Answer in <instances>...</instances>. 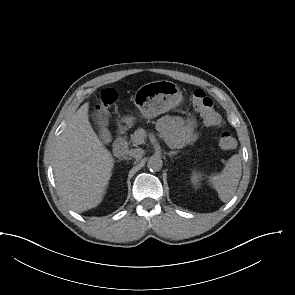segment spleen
I'll return each instance as SVG.
<instances>
[{
    "label": "spleen",
    "mask_w": 295,
    "mask_h": 295,
    "mask_svg": "<svg viewBox=\"0 0 295 295\" xmlns=\"http://www.w3.org/2000/svg\"><path fill=\"white\" fill-rule=\"evenodd\" d=\"M242 174V164L239 155H233L226 163L221 174L209 176V182L218 192L223 202H228L236 192Z\"/></svg>",
    "instance_id": "1"
}]
</instances>
